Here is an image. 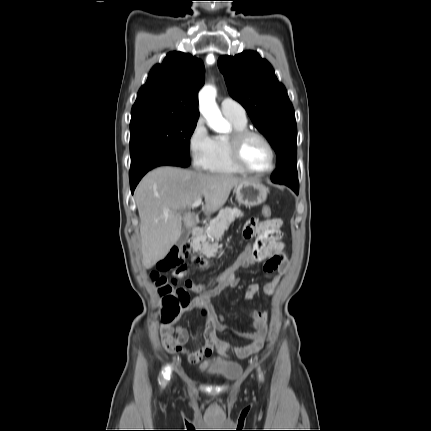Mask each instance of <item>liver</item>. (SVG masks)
Here are the masks:
<instances>
[{
	"label": "liver",
	"mask_w": 431,
	"mask_h": 431,
	"mask_svg": "<svg viewBox=\"0 0 431 431\" xmlns=\"http://www.w3.org/2000/svg\"><path fill=\"white\" fill-rule=\"evenodd\" d=\"M245 180L175 167L150 171L135 190L143 266L150 269L168 254L181 236L182 222L187 229L196 226V215L186 212L188 206L204 197V213H214L226 203L233 187Z\"/></svg>",
	"instance_id": "liver-1"
}]
</instances>
